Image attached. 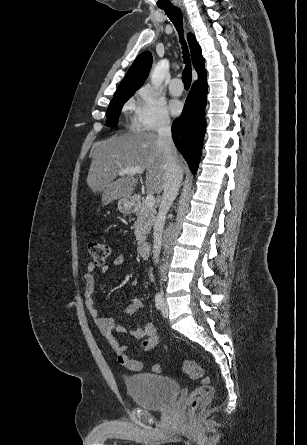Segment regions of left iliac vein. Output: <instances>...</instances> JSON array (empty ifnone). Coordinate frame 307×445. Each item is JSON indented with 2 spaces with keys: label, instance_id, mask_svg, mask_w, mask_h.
Masks as SVG:
<instances>
[{
  "label": "left iliac vein",
  "instance_id": "1",
  "mask_svg": "<svg viewBox=\"0 0 307 445\" xmlns=\"http://www.w3.org/2000/svg\"><path fill=\"white\" fill-rule=\"evenodd\" d=\"M161 313L164 317L168 316V306H167V302L165 301V299L163 298V304H162V310Z\"/></svg>",
  "mask_w": 307,
  "mask_h": 445
}]
</instances>
